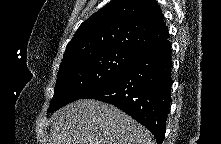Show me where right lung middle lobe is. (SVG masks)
<instances>
[{
  "label": "right lung middle lobe",
  "instance_id": "1",
  "mask_svg": "<svg viewBox=\"0 0 221 144\" xmlns=\"http://www.w3.org/2000/svg\"><path fill=\"white\" fill-rule=\"evenodd\" d=\"M136 57L130 52L109 50L60 66L48 113L82 99L88 92L114 78Z\"/></svg>",
  "mask_w": 221,
  "mask_h": 144
}]
</instances>
